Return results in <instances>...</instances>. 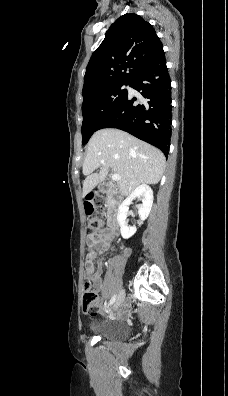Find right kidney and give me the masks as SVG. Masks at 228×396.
I'll return each mask as SVG.
<instances>
[{"instance_id": "ca27d5eb", "label": "right kidney", "mask_w": 228, "mask_h": 396, "mask_svg": "<svg viewBox=\"0 0 228 396\" xmlns=\"http://www.w3.org/2000/svg\"><path fill=\"white\" fill-rule=\"evenodd\" d=\"M136 198L142 201V204L138 206V213L141 220L143 221L147 219L151 211L153 204V191L148 185L141 184L120 205L117 220L120 225L121 236L124 239L130 238L136 233V228L129 227L126 221L129 205Z\"/></svg>"}]
</instances>
